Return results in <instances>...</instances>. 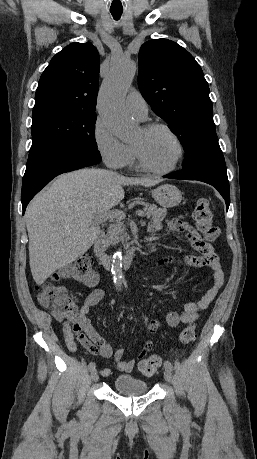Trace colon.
<instances>
[{
	"instance_id": "1",
	"label": "colon",
	"mask_w": 257,
	"mask_h": 459,
	"mask_svg": "<svg viewBox=\"0 0 257 459\" xmlns=\"http://www.w3.org/2000/svg\"><path fill=\"white\" fill-rule=\"evenodd\" d=\"M193 218L205 240L212 242L217 238L218 229L212 224V212L208 199L200 198L197 200L193 211ZM59 275L86 285L95 284L98 280L92 266V261L86 256H81L75 262L63 267L59 271ZM36 290L39 304L50 308L55 317L59 319H75L78 307L75 301L69 296L65 286L47 281L38 284ZM196 337V327L192 324L185 326L180 333V341L183 344L193 342ZM161 363V357L157 354H152L141 360L139 371L144 376H152L161 366Z\"/></svg>"
}]
</instances>
